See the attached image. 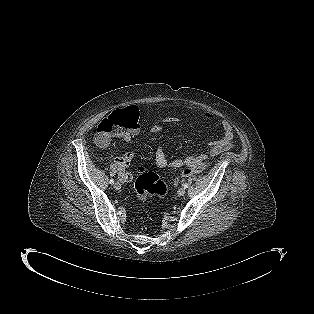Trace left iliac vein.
Masks as SVG:
<instances>
[{
  "mask_svg": "<svg viewBox=\"0 0 314 314\" xmlns=\"http://www.w3.org/2000/svg\"><path fill=\"white\" fill-rule=\"evenodd\" d=\"M186 192V189L184 187H181L179 190H178V196H183Z\"/></svg>",
  "mask_w": 314,
  "mask_h": 314,
  "instance_id": "obj_1",
  "label": "left iliac vein"
}]
</instances>
